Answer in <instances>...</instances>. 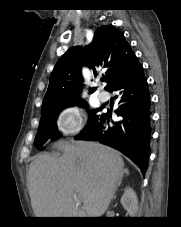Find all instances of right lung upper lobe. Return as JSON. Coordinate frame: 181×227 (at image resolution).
I'll use <instances>...</instances> for the list:
<instances>
[{"label":"right lung upper lobe","mask_w":181,"mask_h":227,"mask_svg":"<svg viewBox=\"0 0 181 227\" xmlns=\"http://www.w3.org/2000/svg\"><path fill=\"white\" fill-rule=\"evenodd\" d=\"M134 55L117 28L112 25L98 28L89 45L82 49L73 47L58 60L50 76L42 109L79 98L83 82L80 66L92 68L95 75L105 71L108 81L105 89L108 90Z\"/></svg>","instance_id":"right-lung-upper-lobe-1"}]
</instances>
